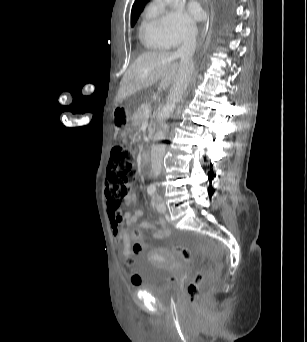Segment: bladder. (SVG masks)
Instances as JSON below:
<instances>
[{
  "label": "bladder",
  "instance_id": "obj_1",
  "mask_svg": "<svg viewBox=\"0 0 307 342\" xmlns=\"http://www.w3.org/2000/svg\"><path fill=\"white\" fill-rule=\"evenodd\" d=\"M138 287L155 297L166 299L177 288V279L169 268L153 264L142 273Z\"/></svg>",
  "mask_w": 307,
  "mask_h": 342
}]
</instances>
